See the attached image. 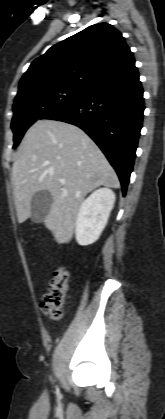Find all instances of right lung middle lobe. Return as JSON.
I'll use <instances>...</instances> for the list:
<instances>
[{
  "mask_svg": "<svg viewBox=\"0 0 165 419\" xmlns=\"http://www.w3.org/2000/svg\"><path fill=\"white\" fill-rule=\"evenodd\" d=\"M88 92L68 87H50L41 89L14 100V116L11 128L14 133V146L20 143L26 130L47 113L66 104L77 101Z\"/></svg>",
  "mask_w": 165,
  "mask_h": 419,
  "instance_id": "obj_1",
  "label": "right lung middle lobe"
}]
</instances>
